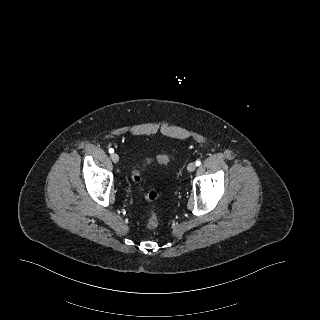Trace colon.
<instances>
[{
  "label": "colon",
  "instance_id": "1",
  "mask_svg": "<svg viewBox=\"0 0 320 320\" xmlns=\"http://www.w3.org/2000/svg\"><path fill=\"white\" fill-rule=\"evenodd\" d=\"M159 163L165 164L170 162L173 157L171 155L167 154H160L155 158ZM152 159H147V163H150ZM131 179L132 181L139 187H140V181H141V176L138 170H134L131 174ZM145 199L152 204V207L149 211L148 217L146 219V226L149 229H154L158 226L159 224V218L157 215V209L155 206V202L158 198V193L155 190H150L148 192L144 193Z\"/></svg>",
  "mask_w": 320,
  "mask_h": 320
}]
</instances>
